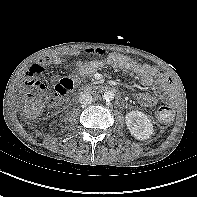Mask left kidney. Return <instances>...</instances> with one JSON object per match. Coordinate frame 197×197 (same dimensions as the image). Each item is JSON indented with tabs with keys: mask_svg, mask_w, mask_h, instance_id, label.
<instances>
[{
	"mask_svg": "<svg viewBox=\"0 0 197 197\" xmlns=\"http://www.w3.org/2000/svg\"><path fill=\"white\" fill-rule=\"evenodd\" d=\"M125 121L131 135L138 140L149 139L153 134V125L149 117L138 110L126 114Z\"/></svg>",
	"mask_w": 197,
	"mask_h": 197,
	"instance_id": "1",
	"label": "left kidney"
}]
</instances>
